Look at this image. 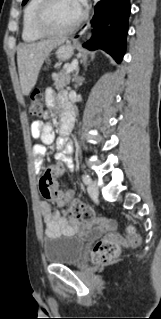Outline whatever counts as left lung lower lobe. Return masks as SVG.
I'll return each mask as SVG.
<instances>
[{
  "label": "left lung lower lobe",
  "mask_w": 161,
  "mask_h": 319,
  "mask_svg": "<svg viewBox=\"0 0 161 319\" xmlns=\"http://www.w3.org/2000/svg\"><path fill=\"white\" fill-rule=\"evenodd\" d=\"M94 10L93 35L83 46L91 50L102 49L120 63L126 50L130 0H102Z\"/></svg>",
  "instance_id": "obj_1"
}]
</instances>
